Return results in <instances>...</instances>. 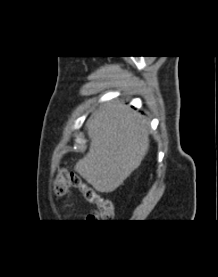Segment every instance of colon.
Segmentation results:
<instances>
[{"label":"colon","mask_w":218,"mask_h":277,"mask_svg":"<svg viewBox=\"0 0 218 277\" xmlns=\"http://www.w3.org/2000/svg\"><path fill=\"white\" fill-rule=\"evenodd\" d=\"M75 187L81 191L84 198L95 206L94 211L87 217L89 221L109 220L114 216L113 204L109 199L102 197L73 172L60 169L55 177L53 193L55 196H63L69 187Z\"/></svg>","instance_id":"obj_1"}]
</instances>
